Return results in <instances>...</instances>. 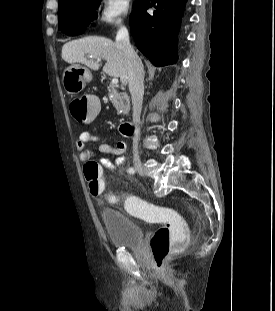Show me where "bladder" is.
Masks as SVG:
<instances>
[{"label": "bladder", "mask_w": 275, "mask_h": 311, "mask_svg": "<svg viewBox=\"0 0 275 311\" xmlns=\"http://www.w3.org/2000/svg\"><path fill=\"white\" fill-rule=\"evenodd\" d=\"M99 216L113 247L139 249L142 246L143 230L125 212L104 208Z\"/></svg>", "instance_id": "1"}]
</instances>
